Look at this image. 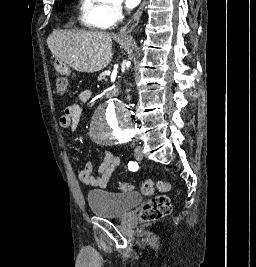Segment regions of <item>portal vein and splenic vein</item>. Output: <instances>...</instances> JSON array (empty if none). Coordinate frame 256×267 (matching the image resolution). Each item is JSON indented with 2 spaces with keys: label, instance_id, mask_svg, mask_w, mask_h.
<instances>
[{
  "label": "portal vein and splenic vein",
  "instance_id": "portal-vein-and-splenic-vein-1",
  "mask_svg": "<svg viewBox=\"0 0 256 267\" xmlns=\"http://www.w3.org/2000/svg\"><path fill=\"white\" fill-rule=\"evenodd\" d=\"M110 73H111V70L110 69H107L106 72L104 73V76L105 77H108Z\"/></svg>",
  "mask_w": 256,
  "mask_h": 267
}]
</instances>
